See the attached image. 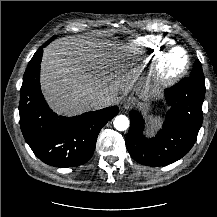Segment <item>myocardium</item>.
Instances as JSON below:
<instances>
[{
	"label": "myocardium",
	"mask_w": 217,
	"mask_h": 217,
	"mask_svg": "<svg viewBox=\"0 0 217 217\" xmlns=\"http://www.w3.org/2000/svg\"><path fill=\"white\" fill-rule=\"evenodd\" d=\"M182 51L185 55V63L184 65L173 71H166V62L171 56V54L175 51ZM191 65V57L188 51L181 46H172L164 50L161 54H159L158 58L155 62L154 72L152 76V81L155 85L159 87H170L175 84L178 80H180L188 71Z\"/></svg>",
	"instance_id": "f54148a6"
}]
</instances>
